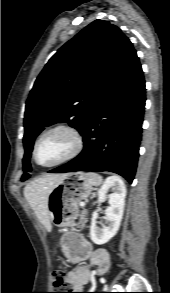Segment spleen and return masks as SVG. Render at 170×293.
Masks as SVG:
<instances>
[{
  "label": "spleen",
  "instance_id": "3e777b00",
  "mask_svg": "<svg viewBox=\"0 0 170 293\" xmlns=\"http://www.w3.org/2000/svg\"><path fill=\"white\" fill-rule=\"evenodd\" d=\"M86 178L91 186H99L103 182L102 177L99 174L93 172L87 173Z\"/></svg>",
  "mask_w": 170,
  "mask_h": 293
}]
</instances>
